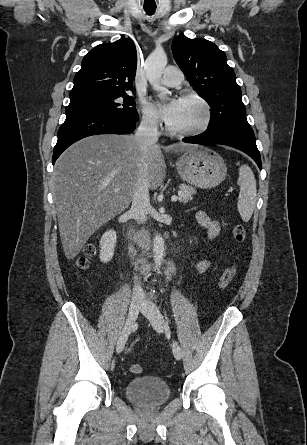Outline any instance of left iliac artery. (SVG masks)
I'll return each mask as SVG.
<instances>
[{
    "mask_svg": "<svg viewBox=\"0 0 307 445\" xmlns=\"http://www.w3.org/2000/svg\"><path fill=\"white\" fill-rule=\"evenodd\" d=\"M164 315H165V318H166V320H167V322L169 321V318H168V316H167V313L164 311Z\"/></svg>",
    "mask_w": 307,
    "mask_h": 445,
    "instance_id": "left-iliac-artery-1",
    "label": "left iliac artery"
}]
</instances>
